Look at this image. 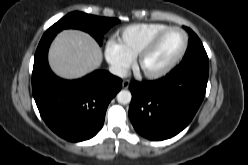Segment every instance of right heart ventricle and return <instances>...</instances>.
<instances>
[{
	"label": "right heart ventricle",
	"instance_id": "right-heart-ventricle-1",
	"mask_svg": "<svg viewBox=\"0 0 248 165\" xmlns=\"http://www.w3.org/2000/svg\"><path fill=\"white\" fill-rule=\"evenodd\" d=\"M168 27L162 23H137L126 26L117 33V44L131 59L157 32Z\"/></svg>",
	"mask_w": 248,
	"mask_h": 165
}]
</instances>
